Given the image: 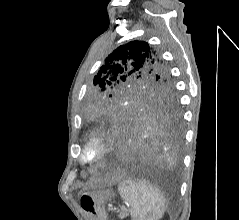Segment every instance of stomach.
<instances>
[{"label":"stomach","instance_id":"0dacf381","mask_svg":"<svg viewBox=\"0 0 239 220\" xmlns=\"http://www.w3.org/2000/svg\"><path fill=\"white\" fill-rule=\"evenodd\" d=\"M111 194L107 192H85L80 197V207L90 220H105L103 205Z\"/></svg>","mask_w":239,"mask_h":220}]
</instances>
